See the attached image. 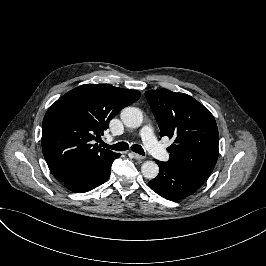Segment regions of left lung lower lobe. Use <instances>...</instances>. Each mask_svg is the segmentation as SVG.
I'll return each mask as SVG.
<instances>
[{"label": "left lung lower lobe", "mask_w": 266, "mask_h": 266, "mask_svg": "<svg viewBox=\"0 0 266 266\" xmlns=\"http://www.w3.org/2000/svg\"><path fill=\"white\" fill-rule=\"evenodd\" d=\"M156 163L160 172L155 179L149 181V186L165 199L171 201L183 199L197 191L205 180L168 162L156 160Z\"/></svg>", "instance_id": "0a47b994"}]
</instances>
